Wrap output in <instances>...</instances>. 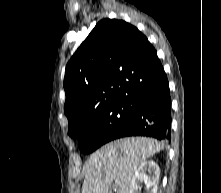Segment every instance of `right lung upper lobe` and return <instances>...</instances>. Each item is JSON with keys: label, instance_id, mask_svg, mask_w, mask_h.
<instances>
[{"label": "right lung upper lobe", "instance_id": "obj_1", "mask_svg": "<svg viewBox=\"0 0 221 193\" xmlns=\"http://www.w3.org/2000/svg\"><path fill=\"white\" fill-rule=\"evenodd\" d=\"M160 66L156 50L135 26L101 20L66 66L64 112L69 130L112 102L136 99Z\"/></svg>", "mask_w": 221, "mask_h": 193}]
</instances>
